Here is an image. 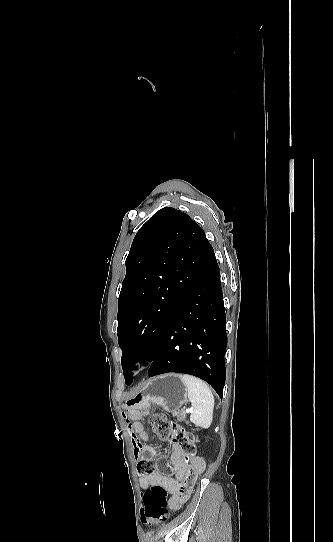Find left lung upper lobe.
<instances>
[{
    "label": "left lung upper lobe",
    "mask_w": 333,
    "mask_h": 542,
    "mask_svg": "<svg viewBox=\"0 0 333 542\" xmlns=\"http://www.w3.org/2000/svg\"><path fill=\"white\" fill-rule=\"evenodd\" d=\"M211 250L203 229L171 207L157 211L135 235L118 300L125 382L133 380L136 362L152 360L165 327Z\"/></svg>",
    "instance_id": "1"
}]
</instances>
